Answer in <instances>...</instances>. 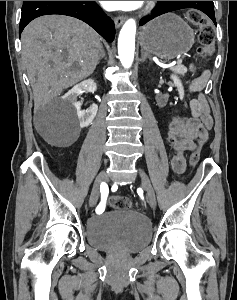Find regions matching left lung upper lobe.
<instances>
[{
	"label": "left lung upper lobe",
	"mask_w": 237,
	"mask_h": 300,
	"mask_svg": "<svg viewBox=\"0 0 237 300\" xmlns=\"http://www.w3.org/2000/svg\"><path fill=\"white\" fill-rule=\"evenodd\" d=\"M167 2L168 1H158V6H157V9L156 11L150 16V17H147L146 19H142L140 21V25H143L145 23H147L149 20L163 14V13H166L168 12V5H167Z\"/></svg>",
	"instance_id": "obj_1"
}]
</instances>
